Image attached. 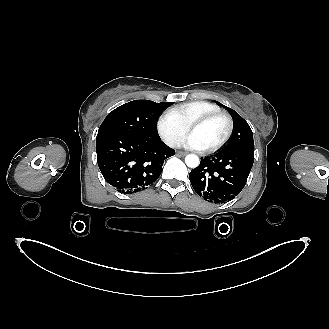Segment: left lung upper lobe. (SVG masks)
Segmentation results:
<instances>
[{"instance_id": "obj_1", "label": "left lung upper lobe", "mask_w": 329, "mask_h": 329, "mask_svg": "<svg viewBox=\"0 0 329 329\" xmlns=\"http://www.w3.org/2000/svg\"><path fill=\"white\" fill-rule=\"evenodd\" d=\"M228 110L233 118V133L228 144L221 151L238 149L254 150L253 133L248 123L233 109L218 103Z\"/></svg>"}]
</instances>
